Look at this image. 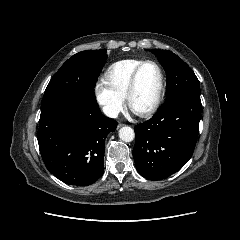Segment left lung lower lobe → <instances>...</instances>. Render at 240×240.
<instances>
[{"label": "left lung lower lobe", "instance_id": "obj_1", "mask_svg": "<svg viewBox=\"0 0 240 240\" xmlns=\"http://www.w3.org/2000/svg\"><path fill=\"white\" fill-rule=\"evenodd\" d=\"M201 109L200 93H179L135 127L133 157L141 176L161 180L184 166L196 145Z\"/></svg>", "mask_w": 240, "mask_h": 240}]
</instances>
